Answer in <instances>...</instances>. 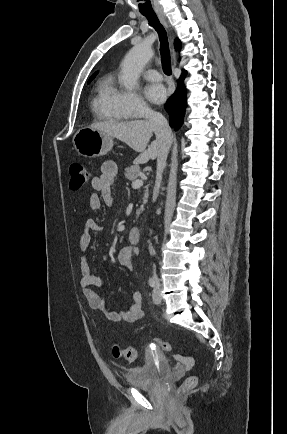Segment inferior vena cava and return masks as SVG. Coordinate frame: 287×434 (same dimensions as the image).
Returning <instances> with one entry per match:
<instances>
[{"instance_id": "obj_1", "label": "inferior vena cava", "mask_w": 287, "mask_h": 434, "mask_svg": "<svg viewBox=\"0 0 287 434\" xmlns=\"http://www.w3.org/2000/svg\"><path fill=\"white\" fill-rule=\"evenodd\" d=\"M145 118L149 120L155 129L156 139L159 143V151L157 154V170L156 181L154 186V194L159 193L160 184L162 181V173L166 166V160L170 149V142L172 138L171 129L165 117L151 109L145 110ZM154 279L158 282V277L154 271Z\"/></svg>"}]
</instances>
